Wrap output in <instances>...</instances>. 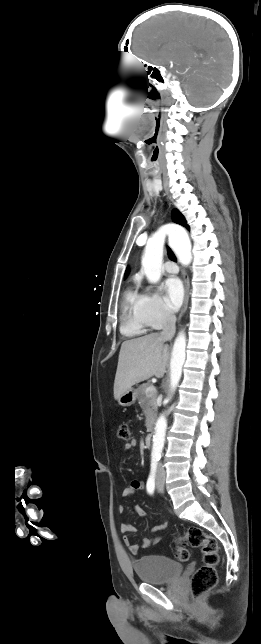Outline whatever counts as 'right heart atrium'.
<instances>
[{
	"label": "right heart atrium",
	"instance_id": "obj_1",
	"mask_svg": "<svg viewBox=\"0 0 261 644\" xmlns=\"http://www.w3.org/2000/svg\"><path fill=\"white\" fill-rule=\"evenodd\" d=\"M143 297V310L150 327L159 329L174 321L160 294L153 288H146Z\"/></svg>",
	"mask_w": 261,
	"mask_h": 644
}]
</instances>
